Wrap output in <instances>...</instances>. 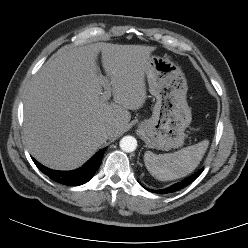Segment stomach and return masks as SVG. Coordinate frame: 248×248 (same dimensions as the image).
<instances>
[{"instance_id": "1", "label": "stomach", "mask_w": 248, "mask_h": 248, "mask_svg": "<svg viewBox=\"0 0 248 248\" xmlns=\"http://www.w3.org/2000/svg\"><path fill=\"white\" fill-rule=\"evenodd\" d=\"M146 75L151 94L156 98L152 117L139 124L149 146L170 150L182 146L185 129L192 120L186 101V78L177 64L168 58L150 56Z\"/></svg>"}]
</instances>
